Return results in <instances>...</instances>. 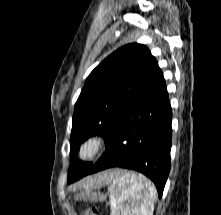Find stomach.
Masks as SVG:
<instances>
[{
	"label": "stomach",
	"instance_id": "stomach-1",
	"mask_svg": "<svg viewBox=\"0 0 221 215\" xmlns=\"http://www.w3.org/2000/svg\"><path fill=\"white\" fill-rule=\"evenodd\" d=\"M76 198L84 201L97 202L103 201L105 196L100 192H94L92 189H83L79 194H77Z\"/></svg>",
	"mask_w": 221,
	"mask_h": 215
}]
</instances>
